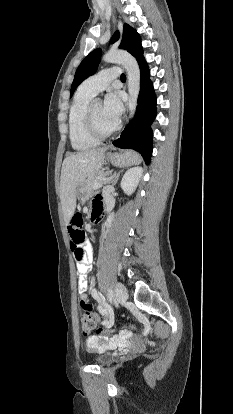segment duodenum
Segmentation results:
<instances>
[{
  "label": "duodenum",
  "instance_id": "obj_1",
  "mask_svg": "<svg viewBox=\"0 0 233 414\" xmlns=\"http://www.w3.org/2000/svg\"><path fill=\"white\" fill-rule=\"evenodd\" d=\"M100 217V208L94 209L92 213V220H97Z\"/></svg>",
  "mask_w": 233,
  "mask_h": 414
}]
</instances>
